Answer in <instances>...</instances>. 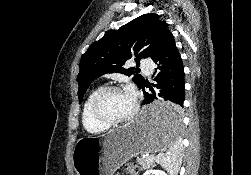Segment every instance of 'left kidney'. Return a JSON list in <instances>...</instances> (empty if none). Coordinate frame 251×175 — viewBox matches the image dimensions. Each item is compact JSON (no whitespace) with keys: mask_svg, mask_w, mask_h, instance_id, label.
Instances as JSON below:
<instances>
[{"mask_svg":"<svg viewBox=\"0 0 251 175\" xmlns=\"http://www.w3.org/2000/svg\"><path fill=\"white\" fill-rule=\"evenodd\" d=\"M143 175H168V173L162 171V169H146Z\"/></svg>","mask_w":251,"mask_h":175,"instance_id":"1","label":"left kidney"}]
</instances>
